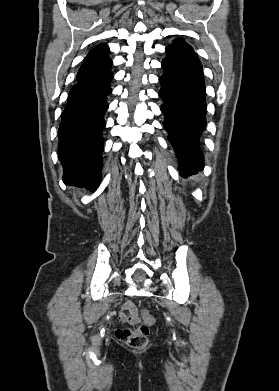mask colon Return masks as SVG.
I'll return each instance as SVG.
<instances>
[{
  "label": "colon",
  "instance_id": "5ec220e1",
  "mask_svg": "<svg viewBox=\"0 0 279 391\" xmlns=\"http://www.w3.org/2000/svg\"><path fill=\"white\" fill-rule=\"evenodd\" d=\"M144 323L136 329L122 327L116 330V337L121 342L136 349H142L148 344L149 326L154 324L155 318L147 311L143 314Z\"/></svg>",
  "mask_w": 279,
  "mask_h": 391
}]
</instances>
